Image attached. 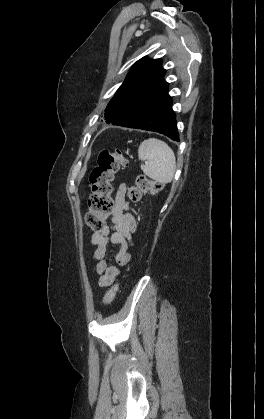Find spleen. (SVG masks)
<instances>
[{
	"instance_id": "1",
	"label": "spleen",
	"mask_w": 264,
	"mask_h": 419,
	"mask_svg": "<svg viewBox=\"0 0 264 419\" xmlns=\"http://www.w3.org/2000/svg\"><path fill=\"white\" fill-rule=\"evenodd\" d=\"M138 157L145 161L141 169L149 178L160 183L172 181L176 159L173 150L164 141L157 138L144 140L139 146Z\"/></svg>"
}]
</instances>
